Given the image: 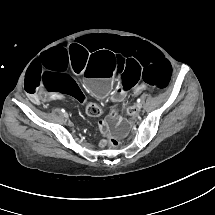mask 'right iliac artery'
<instances>
[{"instance_id":"82829eb1","label":"right iliac artery","mask_w":215,"mask_h":215,"mask_svg":"<svg viewBox=\"0 0 215 215\" xmlns=\"http://www.w3.org/2000/svg\"><path fill=\"white\" fill-rule=\"evenodd\" d=\"M63 113H66L64 109L61 110Z\"/></svg>"}]
</instances>
